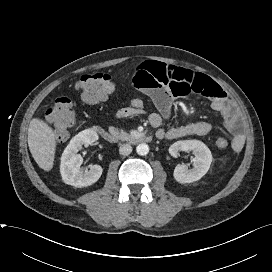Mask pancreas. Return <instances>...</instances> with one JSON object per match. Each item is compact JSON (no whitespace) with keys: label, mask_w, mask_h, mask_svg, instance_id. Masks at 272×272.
I'll return each instance as SVG.
<instances>
[{"label":"pancreas","mask_w":272,"mask_h":272,"mask_svg":"<svg viewBox=\"0 0 272 272\" xmlns=\"http://www.w3.org/2000/svg\"><path fill=\"white\" fill-rule=\"evenodd\" d=\"M109 132L116 139H120V140H129L130 139V135L126 131H124L123 129H119V128H115L113 126H110Z\"/></svg>","instance_id":"cf45deb5"}]
</instances>
